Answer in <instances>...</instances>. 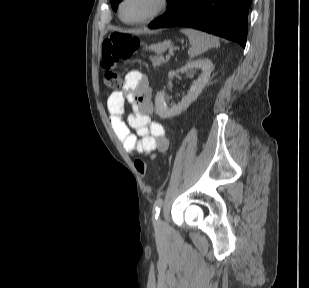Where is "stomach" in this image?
Masks as SVG:
<instances>
[{"mask_svg": "<svg viewBox=\"0 0 309 288\" xmlns=\"http://www.w3.org/2000/svg\"><path fill=\"white\" fill-rule=\"evenodd\" d=\"M171 45V41H164L162 43L151 45L149 48L155 53H162L167 50Z\"/></svg>", "mask_w": 309, "mask_h": 288, "instance_id": "0dacf381", "label": "stomach"}]
</instances>
